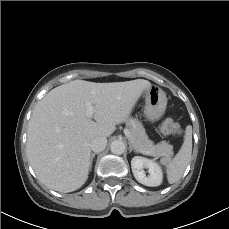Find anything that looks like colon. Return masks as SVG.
I'll list each match as a JSON object with an SVG mask.
<instances>
[{"mask_svg": "<svg viewBox=\"0 0 229 229\" xmlns=\"http://www.w3.org/2000/svg\"><path fill=\"white\" fill-rule=\"evenodd\" d=\"M159 131L166 136L180 135L182 133L180 126L171 118L164 119L161 122Z\"/></svg>", "mask_w": 229, "mask_h": 229, "instance_id": "obj_1", "label": "colon"}]
</instances>
